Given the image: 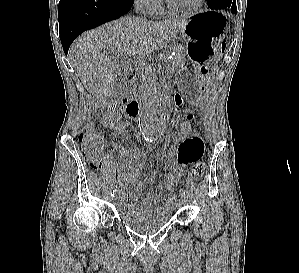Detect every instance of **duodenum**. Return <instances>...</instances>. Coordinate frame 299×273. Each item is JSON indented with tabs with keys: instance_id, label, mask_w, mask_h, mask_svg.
Instances as JSON below:
<instances>
[{
	"instance_id": "obj_1",
	"label": "duodenum",
	"mask_w": 299,
	"mask_h": 273,
	"mask_svg": "<svg viewBox=\"0 0 299 273\" xmlns=\"http://www.w3.org/2000/svg\"><path fill=\"white\" fill-rule=\"evenodd\" d=\"M129 79L130 81L133 79V73L129 75ZM121 108L130 118L133 119H136L140 113V103L132 92H129L122 98ZM165 110H168L166 105Z\"/></svg>"
}]
</instances>
